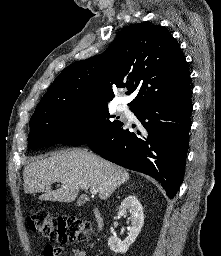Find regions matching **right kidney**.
I'll return each mask as SVG.
<instances>
[{
	"mask_svg": "<svg viewBox=\"0 0 221 256\" xmlns=\"http://www.w3.org/2000/svg\"><path fill=\"white\" fill-rule=\"evenodd\" d=\"M127 212H129L131 215V217L129 218L131 224L126 239L124 241H121L117 238L116 235L111 236L108 239V246L115 253H126L129 247L136 240L144 224L143 207L138 201L137 197L134 195H129L122 201L119 207L118 215L125 216Z\"/></svg>",
	"mask_w": 221,
	"mask_h": 256,
	"instance_id": "ca27d5eb",
	"label": "right kidney"
}]
</instances>
